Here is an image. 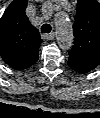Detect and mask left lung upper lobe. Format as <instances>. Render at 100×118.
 I'll return each instance as SVG.
<instances>
[{
  "label": "left lung upper lobe",
  "mask_w": 100,
  "mask_h": 118,
  "mask_svg": "<svg viewBox=\"0 0 100 118\" xmlns=\"http://www.w3.org/2000/svg\"><path fill=\"white\" fill-rule=\"evenodd\" d=\"M74 30V46L69 52L68 65L83 73L100 63V3L78 0Z\"/></svg>",
  "instance_id": "5c2ea615"
}]
</instances>
